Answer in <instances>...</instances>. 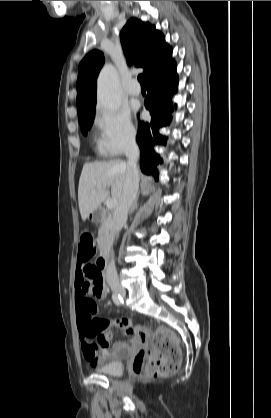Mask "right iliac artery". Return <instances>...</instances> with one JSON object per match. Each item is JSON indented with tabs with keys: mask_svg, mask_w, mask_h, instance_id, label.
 I'll use <instances>...</instances> for the list:
<instances>
[{
	"mask_svg": "<svg viewBox=\"0 0 271 418\" xmlns=\"http://www.w3.org/2000/svg\"><path fill=\"white\" fill-rule=\"evenodd\" d=\"M112 300L117 306H120L123 302L121 296L119 294H116V293L112 294Z\"/></svg>",
	"mask_w": 271,
	"mask_h": 418,
	"instance_id": "right-iliac-artery-1",
	"label": "right iliac artery"
}]
</instances>
